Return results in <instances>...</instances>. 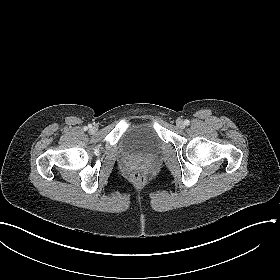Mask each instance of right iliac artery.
Listing matches in <instances>:
<instances>
[{"instance_id": "obj_1", "label": "right iliac artery", "mask_w": 280, "mask_h": 280, "mask_svg": "<svg viewBox=\"0 0 280 280\" xmlns=\"http://www.w3.org/2000/svg\"><path fill=\"white\" fill-rule=\"evenodd\" d=\"M89 127H91V126H89ZM84 129H85V130H87L88 128H87V127H85Z\"/></svg>"}]
</instances>
